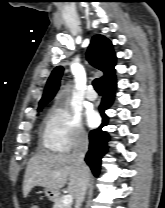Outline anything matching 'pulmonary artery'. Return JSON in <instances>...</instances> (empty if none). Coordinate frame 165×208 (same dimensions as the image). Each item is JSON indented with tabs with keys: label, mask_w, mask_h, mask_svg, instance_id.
<instances>
[{
	"label": "pulmonary artery",
	"mask_w": 165,
	"mask_h": 208,
	"mask_svg": "<svg viewBox=\"0 0 165 208\" xmlns=\"http://www.w3.org/2000/svg\"><path fill=\"white\" fill-rule=\"evenodd\" d=\"M85 97L90 101H94L97 96L95 92L89 87L86 91Z\"/></svg>",
	"instance_id": "obj_1"
}]
</instances>
